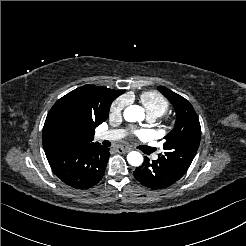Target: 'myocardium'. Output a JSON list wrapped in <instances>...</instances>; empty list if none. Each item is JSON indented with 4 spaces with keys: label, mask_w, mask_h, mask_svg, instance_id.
Instances as JSON below:
<instances>
[{
    "label": "myocardium",
    "mask_w": 246,
    "mask_h": 246,
    "mask_svg": "<svg viewBox=\"0 0 246 246\" xmlns=\"http://www.w3.org/2000/svg\"><path fill=\"white\" fill-rule=\"evenodd\" d=\"M169 120H170V118H169V117L165 118V122H167V121H169Z\"/></svg>",
    "instance_id": "obj_1"
}]
</instances>
